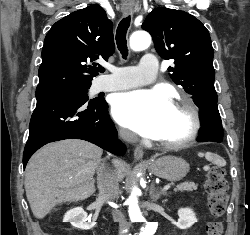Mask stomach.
Segmentation results:
<instances>
[{
    "mask_svg": "<svg viewBox=\"0 0 250 235\" xmlns=\"http://www.w3.org/2000/svg\"><path fill=\"white\" fill-rule=\"evenodd\" d=\"M148 169L155 176L168 181H178L189 172V164L182 158L176 156H163L148 164Z\"/></svg>",
    "mask_w": 250,
    "mask_h": 235,
    "instance_id": "stomach-1",
    "label": "stomach"
}]
</instances>
